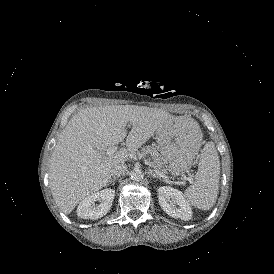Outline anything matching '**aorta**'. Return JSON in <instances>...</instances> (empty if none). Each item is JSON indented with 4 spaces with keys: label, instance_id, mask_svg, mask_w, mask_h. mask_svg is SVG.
I'll list each match as a JSON object with an SVG mask.
<instances>
[{
    "label": "aorta",
    "instance_id": "obj_1",
    "mask_svg": "<svg viewBox=\"0 0 274 274\" xmlns=\"http://www.w3.org/2000/svg\"><path fill=\"white\" fill-rule=\"evenodd\" d=\"M130 175L131 179L134 181H141L144 178V174L141 169H133Z\"/></svg>",
    "mask_w": 274,
    "mask_h": 274
}]
</instances>
